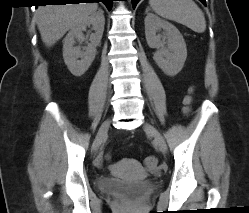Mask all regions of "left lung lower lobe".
<instances>
[{
	"instance_id": "0a47b994",
	"label": "left lung lower lobe",
	"mask_w": 249,
	"mask_h": 213,
	"mask_svg": "<svg viewBox=\"0 0 249 213\" xmlns=\"http://www.w3.org/2000/svg\"><path fill=\"white\" fill-rule=\"evenodd\" d=\"M205 5V0H200ZM139 2V0H132L133 8H135L136 4Z\"/></svg>"
}]
</instances>
